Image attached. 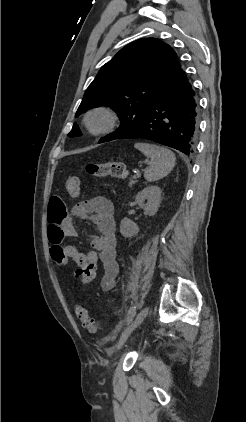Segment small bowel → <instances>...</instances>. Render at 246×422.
Listing matches in <instances>:
<instances>
[{"label":"small bowel","mask_w":246,"mask_h":422,"mask_svg":"<svg viewBox=\"0 0 246 422\" xmlns=\"http://www.w3.org/2000/svg\"><path fill=\"white\" fill-rule=\"evenodd\" d=\"M75 217L90 219L98 230L97 235L89 238L92 250L84 251L74 245H62L65 238L78 236L73 225ZM48 236L52 243L51 249L59 247L69 261L84 267L89 263H101L103 276L101 289L111 291L116 285L119 266L116 261V237L114 206L111 200L97 196L77 202L68 210L65 202L59 196H53L48 205Z\"/></svg>","instance_id":"small-bowel-1"}]
</instances>
